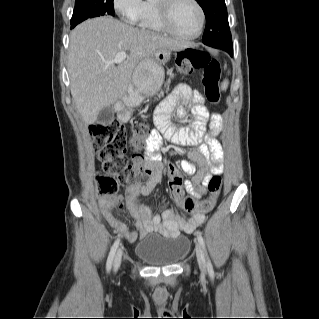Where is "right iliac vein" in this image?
I'll return each mask as SVG.
<instances>
[{"mask_svg":"<svg viewBox=\"0 0 319 319\" xmlns=\"http://www.w3.org/2000/svg\"><path fill=\"white\" fill-rule=\"evenodd\" d=\"M122 259V249H119L115 255L114 259V270H117L121 264Z\"/></svg>","mask_w":319,"mask_h":319,"instance_id":"obj_1","label":"right iliac vein"}]
</instances>
